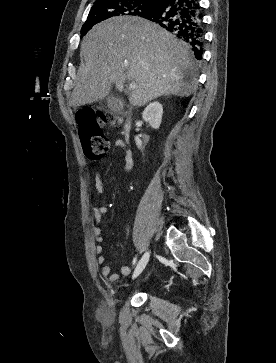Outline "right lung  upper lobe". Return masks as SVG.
Returning <instances> with one entry per match:
<instances>
[{
	"mask_svg": "<svg viewBox=\"0 0 276 363\" xmlns=\"http://www.w3.org/2000/svg\"><path fill=\"white\" fill-rule=\"evenodd\" d=\"M96 1H99V0H96ZM145 1H150L151 3L157 5L161 0H145Z\"/></svg>",
	"mask_w": 276,
	"mask_h": 363,
	"instance_id": "right-lung-upper-lobe-1",
	"label": "right lung upper lobe"
}]
</instances>
